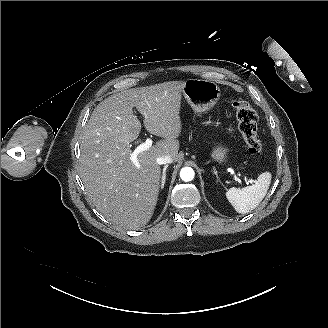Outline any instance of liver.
I'll return each instance as SVG.
<instances>
[{
  "label": "liver",
  "mask_w": 328,
  "mask_h": 328,
  "mask_svg": "<svg viewBox=\"0 0 328 328\" xmlns=\"http://www.w3.org/2000/svg\"><path fill=\"white\" fill-rule=\"evenodd\" d=\"M183 92L184 82L174 81L112 95L94 109L80 136L85 188L96 209L121 228L138 229L154 215L162 174L156 159H178ZM134 108L147 130L163 138L138 155L140 171L130 159L141 130Z\"/></svg>",
  "instance_id": "6515ba94"
}]
</instances>
